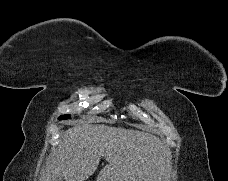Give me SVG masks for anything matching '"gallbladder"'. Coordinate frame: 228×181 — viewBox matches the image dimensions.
Masks as SVG:
<instances>
[{"label": "gallbladder", "instance_id": "1", "mask_svg": "<svg viewBox=\"0 0 228 181\" xmlns=\"http://www.w3.org/2000/svg\"><path fill=\"white\" fill-rule=\"evenodd\" d=\"M55 181H63V177H56Z\"/></svg>", "mask_w": 228, "mask_h": 181}]
</instances>
